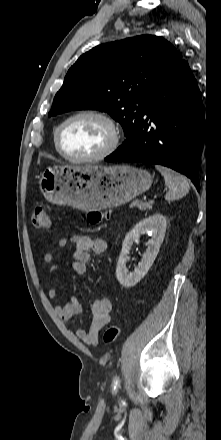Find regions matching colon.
I'll use <instances>...</instances> for the list:
<instances>
[{"label": "colon", "instance_id": "colon-1", "mask_svg": "<svg viewBox=\"0 0 221 440\" xmlns=\"http://www.w3.org/2000/svg\"><path fill=\"white\" fill-rule=\"evenodd\" d=\"M107 218H109V214L107 212L93 210L87 213V220L90 224H99ZM32 221L34 227L38 230L46 231L49 230L51 227L50 217L47 211L42 207H37L35 209L32 217ZM120 332H121L120 324L114 323L110 325L104 333L103 336L104 343L107 345L113 344L117 340Z\"/></svg>", "mask_w": 221, "mask_h": 440}]
</instances>
